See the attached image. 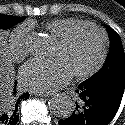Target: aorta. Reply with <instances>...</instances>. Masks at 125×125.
Wrapping results in <instances>:
<instances>
[{"mask_svg":"<svg viewBox=\"0 0 125 125\" xmlns=\"http://www.w3.org/2000/svg\"><path fill=\"white\" fill-rule=\"evenodd\" d=\"M32 46L34 55L40 59L51 57L54 49L52 39L46 35H37ZM48 103L51 112L62 118L69 117L75 109L73 99L66 94H57Z\"/></svg>","mask_w":125,"mask_h":125,"instance_id":"762f6f07","label":"aorta"}]
</instances>
